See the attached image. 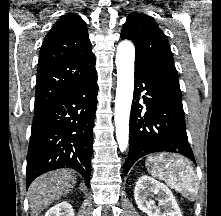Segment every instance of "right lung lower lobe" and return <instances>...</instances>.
<instances>
[{"label": "right lung lower lobe", "mask_w": 221, "mask_h": 216, "mask_svg": "<svg viewBox=\"0 0 221 216\" xmlns=\"http://www.w3.org/2000/svg\"><path fill=\"white\" fill-rule=\"evenodd\" d=\"M97 76L34 112L27 155L26 187L43 173L67 167L90 183L97 104Z\"/></svg>", "instance_id": "1"}]
</instances>
